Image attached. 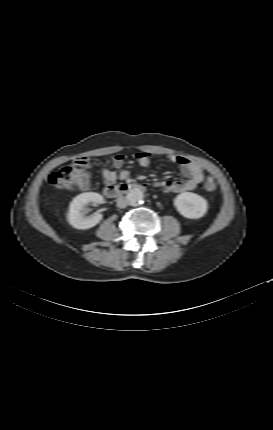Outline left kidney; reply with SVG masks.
<instances>
[{
    "mask_svg": "<svg viewBox=\"0 0 273 430\" xmlns=\"http://www.w3.org/2000/svg\"><path fill=\"white\" fill-rule=\"evenodd\" d=\"M174 205L177 211L188 219H199L206 214L208 209L207 200L192 192L179 194L174 200Z\"/></svg>",
    "mask_w": 273,
    "mask_h": 430,
    "instance_id": "1",
    "label": "left kidney"
}]
</instances>
